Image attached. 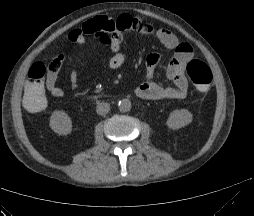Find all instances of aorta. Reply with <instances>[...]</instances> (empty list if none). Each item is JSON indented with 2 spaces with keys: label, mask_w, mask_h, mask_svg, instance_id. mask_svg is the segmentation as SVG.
I'll use <instances>...</instances> for the list:
<instances>
[{
  "label": "aorta",
  "mask_w": 254,
  "mask_h": 216,
  "mask_svg": "<svg viewBox=\"0 0 254 216\" xmlns=\"http://www.w3.org/2000/svg\"><path fill=\"white\" fill-rule=\"evenodd\" d=\"M118 108L121 112H128L132 108L131 101L129 99H122L118 103Z\"/></svg>",
  "instance_id": "obj_1"
}]
</instances>
